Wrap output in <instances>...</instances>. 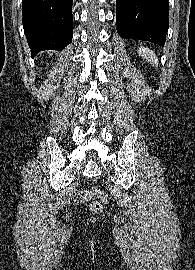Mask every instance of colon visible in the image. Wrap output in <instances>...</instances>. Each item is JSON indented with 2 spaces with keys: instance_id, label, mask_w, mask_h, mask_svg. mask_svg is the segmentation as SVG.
I'll return each mask as SVG.
<instances>
[{
  "instance_id": "obj_1",
  "label": "colon",
  "mask_w": 195,
  "mask_h": 270,
  "mask_svg": "<svg viewBox=\"0 0 195 270\" xmlns=\"http://www.w3.org/2000/svg\"><path fill=\"white\" fill-rule=\"evenodd\" d=\"M91 196H95L100 199L102 203H106L109 200L107 193L100 191L97 188H91L89 191H79L75 195V202L77 204L85 203ZM90 210L93 213H99L102 210V204L100 202H91Z\"/></svg>"
}]
</instances>
